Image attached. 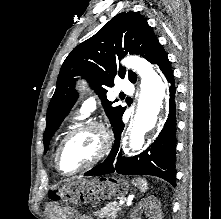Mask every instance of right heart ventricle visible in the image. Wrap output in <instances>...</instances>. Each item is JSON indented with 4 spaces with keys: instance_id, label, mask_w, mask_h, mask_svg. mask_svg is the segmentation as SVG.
<instances>
[{
    "instance_id": "e07e8e85",
    "label": "right heart ventricle",
    "mask_w": 221,
    "mask_h": 219,
    "mask_svg": "<svg viewBox=\"0 0 221 219\" xmlns=\"http://www.w3.org/2000/svg\"><path fill=\"white\" fill-rule=\"evenodd\" d=\"M83 119V116H78L74 121L66 128L64 136L67 135L72 129L78 126V123Z\"/></svg>"
}]
</instances>
